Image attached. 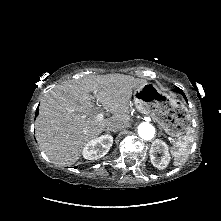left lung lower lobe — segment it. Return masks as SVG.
<instances>
[{
    "mask_svg": "<svg viewBox=\"0 0 221 221\" xmlns=\"http://www.w3.org/2000/svg\"><path fill=\"white\" fill-rule=\"evenodd\" d=\"M173 91H175V92H177V93L183 95V97L186 99L185 94L183 93V91H182L180 88L176 87L175 89H173ZM186 100H187V99H186Z\"/></svg>",
    "mask_w": 221,
    "mask_h": 221,
    "instance_id": "0a47b994",
    "label": "left lung lower lobe"
}]
</instances>
